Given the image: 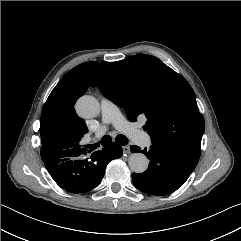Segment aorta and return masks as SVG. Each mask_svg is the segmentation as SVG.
<instances>
[{
  "instance_id": "aorta-1",
  "label": "aorta",
  "mask_w": 241,
  "mask_h": 241,
  "mask_svg": "<svg viewBox=\"0 0 241 241\" xmlns=\"http://www.w3.org/2000/svg\"><path fill=\"white\" fill-rule=\"evenodd\" d=\"M76 111L83 118H94L100 113V105L97 99L90 95L80 97L76 102ZM128 164L135 173H143L147 170L149 161L142 153H133L130 155Z\"/></svg>"
}]
</instances>
